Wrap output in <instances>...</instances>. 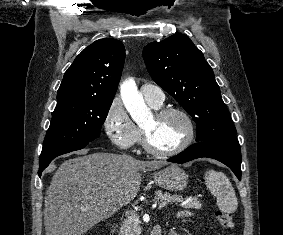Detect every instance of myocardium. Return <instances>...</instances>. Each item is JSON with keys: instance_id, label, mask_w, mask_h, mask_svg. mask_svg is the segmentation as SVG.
<instances>
[{"instance_id": "1", "label": "myocardium", "mask_w": 283, "mask_h": 235, "mask_svg": "<svg viewBox=\"0 0 283 235\" xmlns=\"http://www.w3.org/2000/svg\"><path fill=\"white\" fill-rule=\"evenodd\" d=\"M169 114H177L183 118L186 124V134L182 142L171 150H158L155 149L149 142L147 131L142 127V146L146 152L158 157H172L185 151L194 141L196 135L195 123L190 114L179 107H162L158 108L154 116L158 119L165 117Z\"/></svg>"}]
</instances>
